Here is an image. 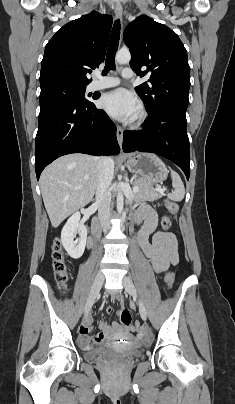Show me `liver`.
I'll list each match as a JSON object with an SVG mask.
<instances>
[{"label":"liver","mask_w":235,"mask_h":404,"mask_svg":"<svg viewBox=\"0 0 235 404\" xmlns=\"http://www.w3.org/2000/svg\"><path fill=\"white\" fill-rule=\"evenodd\" d=\"M98 161L91 155L69 154L43 170L41 194L54 228L93 199L99 174Z\"/></svg>","instance_id":"obj_1"}]
</instances>
